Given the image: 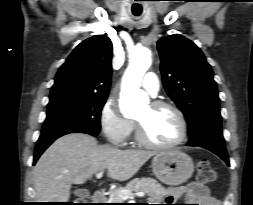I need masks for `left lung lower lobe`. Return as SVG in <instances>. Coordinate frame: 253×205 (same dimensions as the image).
<instances>
[{"instance_id":"1","label":"left lung lower lobe","mask_w":253,"mask_h":205,"mask_svg":"<svg viewBox=\"0 0 253 205\" xmlns=\"http://www.w3.org/2000/svg\"><path fill=\"white\" fill-rule=\"evenodd\" d=\"M195 146H199V147L212 151L213 153L218 155L220 158H222L226 162L227 165H230L228 154H227L224 144H220L216 142H205V143H201Z\"/></svg>"}]
</instances>
